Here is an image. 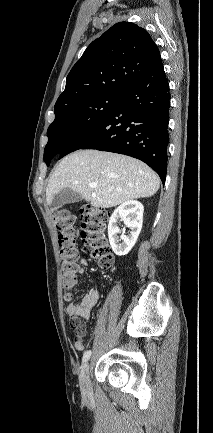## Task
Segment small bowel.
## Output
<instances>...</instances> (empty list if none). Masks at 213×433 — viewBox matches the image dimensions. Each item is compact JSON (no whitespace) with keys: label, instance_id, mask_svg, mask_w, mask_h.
<instances>
[{"label":"small bowel","instance_id":"small-bowel-1","mask_svg":"<svg viewBox=\"0 0 213 433\" xmlns=\"http://www.w3.org/2000/svg\"><path fill=\"white\" fill-rule=\"evenodd\" d=\"M86 262L82 261L81 263H77L75 269V276L81 274L83 272V265ZM99 300V293L95 289H89L87 293L84 295L82 301L80 303H76L70 301L67 306V313L71 317L82 318L84 320H88L91 317V312L93 308L97 305ZM85 326L83 325V332L81 336L76 335L75 347L78 351L84 350L85 346L82 342V338L85 335Z\"/></svg>","mask_w":213,"mask_h":433}]
</instances>
